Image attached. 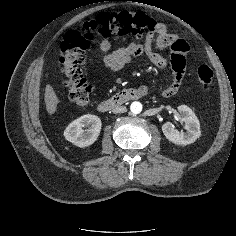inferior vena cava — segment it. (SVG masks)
Here are the masks:
<instances>
[{
  "label": "inferior vena cava",
  "mask_w": 236,
  "mask_h": 236,
  "mask_svg": "<svg viewBox=\"0 0 236 236\" xmlns=\"http://www.w3.org/2000/svg\"><path fill=\"white\" fill-rule=\"evenodd\" d=\"M127 109L125 106H120V107H116L114 110H113V113L115 114H118V113H124L126 112Z\"/></svg>",
  "instance_id": "1"
}]
</instances>
